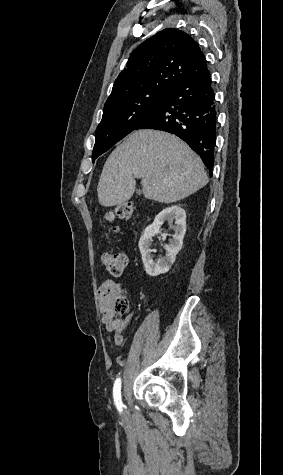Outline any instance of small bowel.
I'll return each instance as SVG.
<instances>
[{"mask_svg":"<svg viewBox=\"0 0 283 475\" xmlns=\"http://www.w3.org/2000/svg\"><path fill=\"white\" fill-rule=\"evenodd\" d=\"M119 289L120 286L112 280L104 282L98 289V300L102 313L101 320L109 333L108 340L113 341L116 345L122 344L124 332L132 318V314L121 321H113L111 318L112 304ZM113 316L116 318L118 315L115 313Z\"/></svg>","mask_w":283,"mask_h":475,"instance_id":"1","label":"small bowel"}]
</instances>
